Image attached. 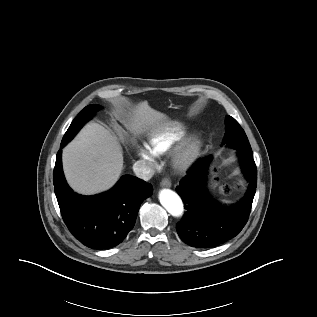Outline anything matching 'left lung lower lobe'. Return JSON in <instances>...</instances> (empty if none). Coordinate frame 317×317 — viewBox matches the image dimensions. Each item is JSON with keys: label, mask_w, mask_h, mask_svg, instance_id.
Segmentation results:
<instances>
[{"label": "left lung lower lobe", "mask_w": 317, "mask_h": 317, "mask_svg": "<svg viewBox=\"0 0 317 317\" xmlns=\"http://www.w3.org/2000/svg\"><path fill=\"white\" fill-rule=\"evenodd\" d=\"M248 183L246 194L235 204L223 207L205 190V175L211 156L199 159L176 188L187 210L177 224V232L186 244L209 248L237 236L248 221L257 187V168L253 154L237 152Z\"/></svg>", "instance_id": "1"}]
</instances>
